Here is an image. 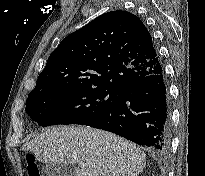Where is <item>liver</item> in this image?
I'll list each match as a JSON object with an SVG mask.
<instances>
[{"mask_svg":"<svg viewBox=\"0 0 205 176\" xmlns=\"http://www.w3.org/2000/svg\"><path fill=\"white\" fill-rule=\"evenodd\" d=\"M42 163L78 164L75 176H138L146 155L113 133L90 127H53L22 147Z\"/></svg>","mask_w":205,"mask_h":176,"instance_id":"obj_1","label":"liver"}]
</instances>
